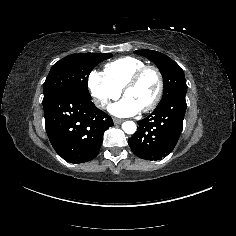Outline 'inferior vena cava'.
Segmentation results:
<instances>
[{
    "label": "inferior vena cava",
    "instance_id": "obj_1",
    "mask_svg": "<svg viewBox=\"0 0 236 236\" xmlns=\"http://www.w3.org/2000/svg\"><path fill=\"white\" fill-rule=\"evenodd\" d=\"M93 103L95 104V106L99 109H106L107 105H108V100L106 99H101V98H94L93 99Z\"/></svg>",
    "mask_w": 236,
    "mask_h": 236
}]
</instances>
